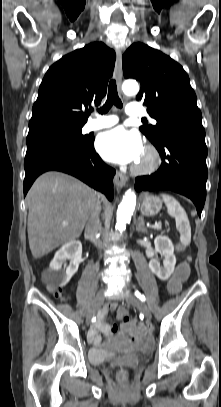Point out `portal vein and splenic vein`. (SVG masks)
<instances>
[{
	"label": "portal vein and splenic vein",
	"mask_w": 221,
	"mask_h": 407,
	"mask_svg": "<svg viewBox=\"0 0 221 407\" xmlns=\"http://www.w3.org/2000/svg\"><path fill=\"white\" fill-rule=\"evenodd\" d=\"M68 225V223H63V226H67ZM152 228H154V229H161L162 228V224L161 223H157V224H155V225H153V226H151Z\"/></svg>",
	"instance_id": "obj_1"
}]
</instances>
